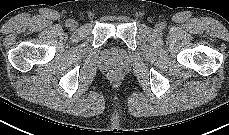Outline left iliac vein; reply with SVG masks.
Returning <instances> with one entry per match:
<instances>
[{
  "mask_svg": "<svg viewBox=\"0 0 229 135\" xmlns=\"http://www.w3.org/2000/svg\"><path fill=\"white\" fill-rule=\"evenodd\" d=\"M162 27H161V25L160 24H157L156 26H155V29L156 30H160Z\"/></svg>",
  "mask_w": 229,
  "mask_h": 135,
  "instance_id": "4c4485c4",
  "label": "left iliac vein"
}]
</instances>
